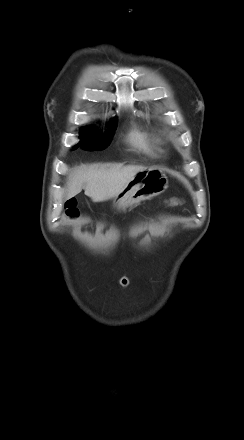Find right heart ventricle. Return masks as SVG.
<instances>
[{
    "mask_svg": "<svg viewBox=\"0 0 244 440\" xmlns=\"http://www.w3.org/2000/svg\"><path fill=\"white\" fill-rule=\"evenodd\" d=\"M128 143L138 151L156 154L159 152L158 140L136 126L131 127L127 134Z\"/></svg>",
    "mask_w": 244,
    "mask_h": 440,
    "instance_id": "obj_1",
    "label": "right heart ventricle"
}]
</instances>
